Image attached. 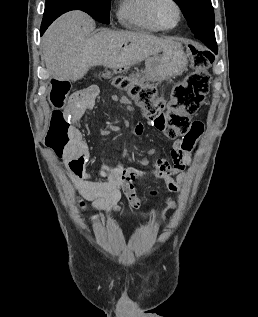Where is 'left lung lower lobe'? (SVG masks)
I'll use <instances>...</instances> for the list:
<instances>
[{"mask_svg": "<svg viewBox=\"0 0 258 317\" xmlns=\"http://www.w3.org/2000/svg\"><path fill=\"white\" fill-rule=\"evenodd\" d=\"M194 36L201 40L209 49L217 54V44L215 40L214 29L195 31Z\"/></svg>", "mask_w": 258, "mask_h": 317, "instance_id": "left-lung-lower-lobe-1", "label": "left lung lower lobe"}]
</instances>
